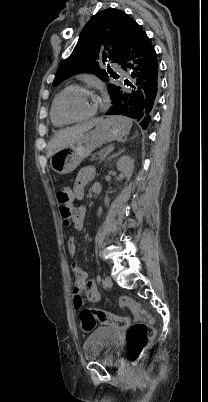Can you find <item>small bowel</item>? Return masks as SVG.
I'll use <instances>...</instances> for the list:
<instances>
[{"label":"small bowel","mask_w":208,"mask_h":402,"mask_svg":"<svg viewBox=\"0 0 208 402\" xmlns=\"http://www.w3.org/2000/svg\"><path fill=\"white\" fill-rule=\"evenodd\" d=\"M94 170L90 167H86L81 169L74 182L73 190L75 193V198L78 200L83 199L84 190L88 182L93 178ZM78 221L75 224V228L77 230L83 229V218L85 215V208L80 207L77 209ZM67 248L69 250L70 255H75L76 246L74 238H69L67 243ZM73 272V303L76 307H81L84 303V298L82 294L86 293V299L90 302L97 303L102 299L101 292L97 286V283L94 280H88L86 278V274L75 264L72 266Z\"/></svg>","instance_id":"c3829d8e"}]
</instances>
